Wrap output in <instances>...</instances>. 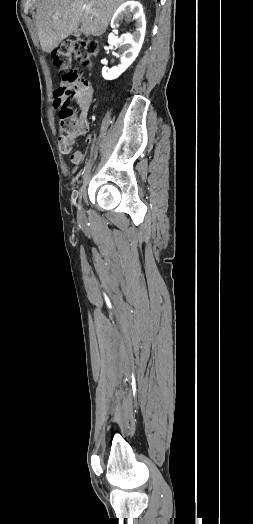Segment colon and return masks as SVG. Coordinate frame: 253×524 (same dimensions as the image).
Returning a JSON list of instances; mask_svg holds the SVG:
<instances>
[{"label":"colon","mask_w":253,"mask_h":524,"mask_svg":"<svg viewBox=\"0 0 253 524\" xmlns=\"http://www.w3.org/2000/svg\"><path fill=\"white\" fill-rule=\"evenodd\" d=\"M97 53V42L83 37L66 39L54 52V65L62 73V80L57 88L63 91L62 99L57 104L59 129L67 138L80 128L74 111L76 97H85L94 92L93 81L83 75L82 70L73 68V63L77 60L82 66L89 67L91 59Z\"/></svg>","instance_id":"1"}]
</instances>
